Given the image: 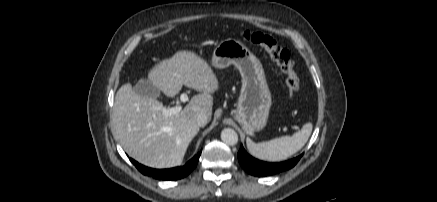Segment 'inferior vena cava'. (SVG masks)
Masks as SVG:
<instances>
[{"instance_id":"obj_1","label":"inferior vena cava","mask_w":437,"mask_h":202,"mask_svg":"<svg viewBox=\"0 0 437 202\" xmlns=\"http://www.w3.org/2000/svg\"><path fill=\"white\" fill-rule=\"evenodd\" d=\"M209 119L206 114L199 113L196 117V123L200 127H204L208 123Z\"/></svg>"}]
</instances>
